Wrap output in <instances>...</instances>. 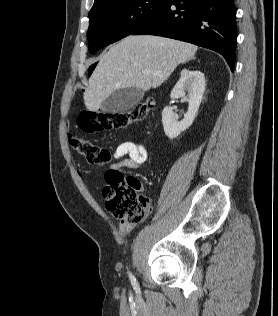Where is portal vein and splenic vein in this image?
I'll return each mask as SVG.
<instances>
[{"mask_svg":"<svg viewBox=\"0 0 278 316\" xmlns=\"http://www.w3.org/2000/svg\"><path fill=\"white\" fill-rule=\"evenodd\" d=\"M145 73L150 74L151 72L150 71H146Z\"/></svg>","mask_w":278,"mask_h":316,"instance_id":"portal-vein-and-splenic-vein-1","label":"portal vein and splenic vein"}]
</instances>
